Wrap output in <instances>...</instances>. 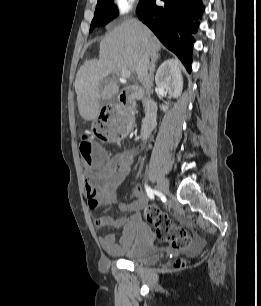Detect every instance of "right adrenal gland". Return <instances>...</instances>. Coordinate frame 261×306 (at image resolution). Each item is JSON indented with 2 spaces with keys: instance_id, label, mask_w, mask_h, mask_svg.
<instances>
[{
  "instance_id": "1",
  "label": "right adrenal gland",
  "mask_w": 261,
  "mask_h": 306,
  "mask_svg": "<svg viewBox=\"0 0 261 306\" xmlns=\"http://www.w3.org/2000/svg\"><path fill=\"white\" fill-rule=\"evenodd\" d=\"M158 61V57L154 58L151 62V65H150V76L152 78H154V72H155V69H156V62Z\"/></svg>"
}]
</instances>
